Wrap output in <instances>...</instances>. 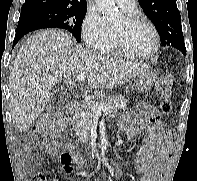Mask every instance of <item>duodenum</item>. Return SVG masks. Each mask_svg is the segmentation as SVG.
Wrapping results in <instances>:
<instances>
[{"mask_svg":"<svg viewBox=\"0 0 197 181\" xmlns=\"http://www.w3.org/2000/svg\"><path fill=\"white\" fill-rule=\"evenodd\" d=\"M79 108H80L79 103H78L77 101H72V102L70 103L68 109H69V112L73 114V113L78 112Z\"/></svg>","mask_w":197,"mask_h":181,"instance_id":"obj_1","label":"duodenum"}]
</instances>
